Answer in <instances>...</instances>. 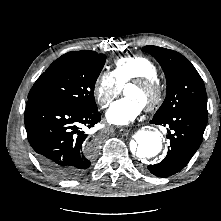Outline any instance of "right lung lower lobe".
Wrapping results in <instances>:
<instances>
[{"instance_id":"98d812e1","label":"right lung lower lobe","mask_w":221,"mask_h":221,"mask_svg":"<svg viewBox=\"0 0 221 221\" xmlns=\"http://www.w3.org/2000/svg\"><path fill=\"white\" fill-rule=\"evenodd\" d=\"M100 112H86L43 98L27 101L24 122L28 141L41 165L52 175L73 179L91 165L95 146L85 141L82 126L100 122Z\"/></svg>"}]
</instances>
